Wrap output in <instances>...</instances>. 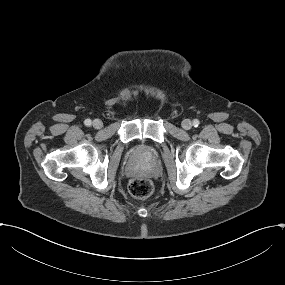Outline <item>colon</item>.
Here are the masks:
<instances>
[{
    "mask_svg": "<svg viewBox=\"0 0 285 285\" xmlns=\"http://www.w3.org/2000/svg\"><path fill=\"white\" fill-rule=\"evenodd\" d=\"M128 189L134 198L143 200L151 196L154 185L149 179L136 178L129 183Z\"/></svg>",
    "mask_w": 285,
    "mask_h": 285,
    "instance_id": "colon-1",
    "label": "colon"
}]
</instances>
